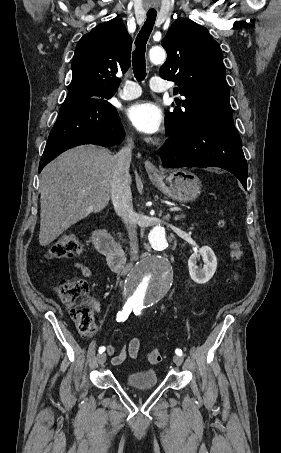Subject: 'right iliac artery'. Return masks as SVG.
<instances>
[{
	"label": "right iliac artery",
	"instance_id": "right-iliac-artery-1",
	"mask_svg": "<svg viewBox=\"0 0 281 453\" xmlns=\"http://www.w3.org/2000/svg\"><path fill=\"white\" fill-rule=\"evenodd\" d=\"M132 311V305L130 304H125L124 307H123V310L122 311H119L117 313V322H124L129 314L131 313ZM105 351V347H100L99 348V353H103Z\"/></svg>",
	"mask_w": 281,
	"mask_h": 453
}]
</instances>
